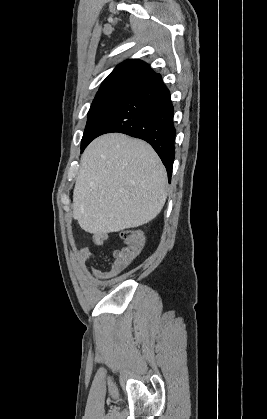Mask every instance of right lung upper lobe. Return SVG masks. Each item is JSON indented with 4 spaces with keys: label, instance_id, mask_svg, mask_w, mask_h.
Listing matches in <instances>:
<instances>
[{
    "label": "right lung upper lobe",
    "instance_id": "cb5924a9",
    "mask_svg": "<svg viewBox=\"0 0 267 419\" xmlns=\"http://www.w3.org/2000/svg\"><path fill=\"white\" fill-rule=\"evenodd\" d=\"M155 73L149 65L137 59H130L119 64L103 81L97 94L115 91L132 92L146 82Z\"/></svg>",
    "mask_w": 267,
    "mask_h": 419
}]
</instances>
